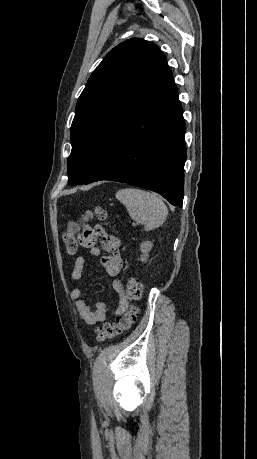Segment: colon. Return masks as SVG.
<instances>
[{
    "label": "colon",
    "instance_id": "5ec220e1",
    "mask_svg": "<svg viewBox=\"0 0 257 459\" xmlns=\"http://www.w3.org/2000/svg\"><path fill=\"white\" fill-rule=\"evenodd\" d=\"M93 214H96L101 220L104 221H107L109 217L108 211L104 207L98 206L94 209L93 212L88 211L81 215L77 220L68 223L66 232L63 234V241L69 254H74L79 247L77 236H71L70 234L71 227H81V229H83L84 227L82 225L80 226L79 224H82L84 221L88 222ZM125 294L127 299L131 301L141 300L143 296L142 283L135 278L128 279L125 283ZM138 313V307L134 305L129 306L123 315L117 317L114 323L105 324L96 330L97 340L102 341L106 339H112L126 332L136 321Z\"/></svg>",
    "mask_w": 257,
    "mask_h": 459
}]
</instances>
